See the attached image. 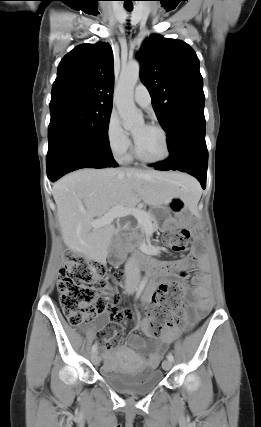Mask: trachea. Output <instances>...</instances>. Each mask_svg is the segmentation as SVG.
Here are the masks:
<instances>
[{
    "instance_id": "obj_1",
    "label": "trachea",
    "mask_w": 261,
    "mask_h": 427,
    "mask_svg": "<svg viewBox=\"0 0 261 427\" xmlns=\"http://www.w3.org/2000/svg\"><path fill=\"white\" fill-rule=\"evenodd\" d=\"M124 7H125V9L126 10H128V11H131L132 9H133V5H132V3L130 2V3H125L124 2Z\"/></svg>"
}]
</instances>
